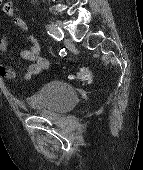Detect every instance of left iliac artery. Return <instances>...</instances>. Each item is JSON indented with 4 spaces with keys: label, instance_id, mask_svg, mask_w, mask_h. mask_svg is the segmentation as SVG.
<instances>
[{
    "label": "left iliac artery",
    "instance_id": "left-iliac-artery-1",
    "mask_svg": "<svg viewBox=\"0 0 143 170\" xmlns=\"http://www.w3.org/2000/svg\"><path fill=\"white\" fill-rule=\"evenodd\" d=\"M47 30H48V34L58 41L62 40L64 37V33L56 24H50Z\"/></svg>",
    "mask_w": 143,
    "mask_h": 170
}]
</instances>
